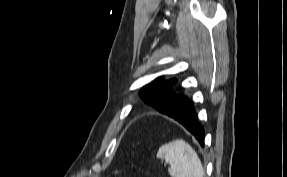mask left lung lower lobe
I'll return each instance as SVG.
<instances>
[{
    "instance_id": "1",
    "label": "left lung lower lobe",
    "mask_w": 287,
    "mask_h": 177,
    "mask_svg": "<svg viewBox=\"0 0 287 177\" xmlns=\"http://www.w3.org/2000/svg\"><path fill=\"white\" fill-rule=\"evenodd\" d=\"M171 101L175 104V107L174 111H170L168 116L181 123L195 136L201 146H204V129L198 122L192 103L184 95H178Z\"/></svg>"
}]
</instances>
